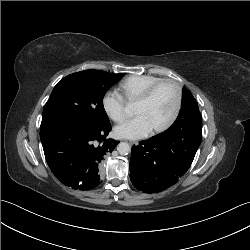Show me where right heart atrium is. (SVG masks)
Listing matches in <instances>:
<instances>
[{
  "mask_svg": "<svg viewBox=\"0 0 250 250\" xmlns=\"http://www.w3.org/2000/svg\"><path fill=\"white\" fill-rule=\"evenodd\" d=\"M102 107L106 115L115 122L122 121L126 116V100L117 90H108L103 95Z\"/></svg>",
  "mask_w": 250,
  "mask_h": 250,
  "instance_id": "obj_1",
  "label": "right heart atrium"
}]
</instances>
